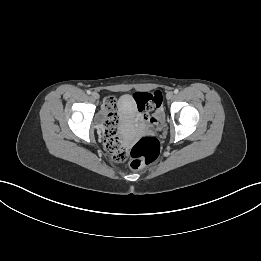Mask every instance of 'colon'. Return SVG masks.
Listing matches in <instances>:
<instances>
[{"label": "colon", "instance_id": "1", "mask_svg": "<svg viewBox=\"0 0 261 261\" xmlns=\"http://www.w3.org/2000/svg\"><path fill=\"white\" fill-rule=\"evenodd\" d=\"M139 119L146 125L157 128L162 120V95L159 91L135 92L132 95ZM107 117L104 130V143L111 158L116 162L130 161L133 169H141L154 162L160 151L159 141L154 137H143L131 148H127L118 133V116L115 111L116 103L113 98H107L104 103Z\"/></svg>", "mask_w": 261, "mask_h": 261}]
</instances>
